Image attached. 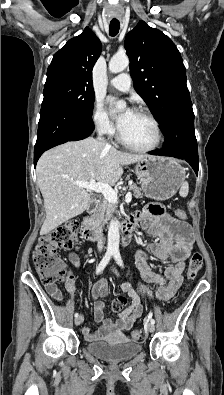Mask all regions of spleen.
<instances>
[{"instance_id":"1","label":"spleen","mask_w":224,"mask_h":395,"mask_svg":"<svg viewBox=\"0 0 224 395\" xmlns=\"http://www.w3.org/2000/svg\"><path fill=\"white\" fill-rule=\"evenodd\" d=\"M189 192V185L188 182H183L179 191L181 197H186Z\"/></svg>"}]
</instances>
